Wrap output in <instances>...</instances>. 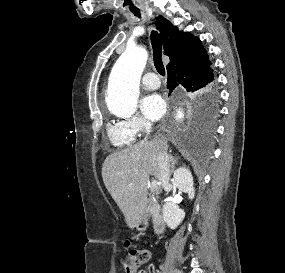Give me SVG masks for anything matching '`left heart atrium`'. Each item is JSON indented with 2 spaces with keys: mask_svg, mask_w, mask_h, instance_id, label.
<instances>
[{
  "mask_svg": "<svg viewBox=\"0 0 285 273\" xmlns=\"http://www.w3.org/2000/svg\"><path fill=\"white\" fill-rule=\"evenodd\" d=\"M140 108L144 116L150 120H158L166 111V104L158 94H151L143 98Z\"/></svg>",
  "mask_w": 285,
  "mask_h": 273,
  "instance_id": "39dd6f15",
  "label": "left heart atrium"
}]
</instances>
